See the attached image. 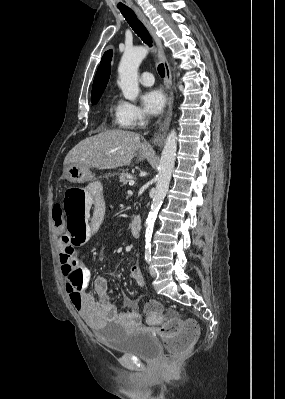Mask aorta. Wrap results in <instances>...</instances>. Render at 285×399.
Segmentation results:
<instances>
[{
  "label": "aorta",
  "mask_w": 285,
  "mask_h": 399,
  "mask_svg": "<svg viewBox=\"0 0 285 399\" xmlns=\"http://www.w3.org/2000/svg\"><path fill=\"white\" fill-rule=\"evenodd\" d=\"M149 49L144 46L126 49L118 67V86L121 88L124 97L135 101L139 94L138 68L147 56ZM177 152V133L175 129L168 134L162 151L159 173L155 194L152 200L151 209L146 220L145 246H150L154 223L158 211L163 203L169 188L172 171L175 165Z\"/></svg>",
  "instance_id": "obj_1"
}]
</instances>
